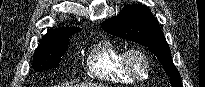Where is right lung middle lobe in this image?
<instances>
[{
  "instance_id": "obj_1",
  "label": "right lung middle lobe",
  "mask_w": 205,
  "mask_h": 87,
  "mask_svg": "<svg viewBox=\"0 0 205 87\" xmlns=\"http://www.w3.org/2000/svg\"><path fill=\"white\" fill-rule=\"evenodd\" d=\"M68 43V38L56 42H41L34 52V71L56 68L67 51Z\"/></svg>"
}]
</instances>
